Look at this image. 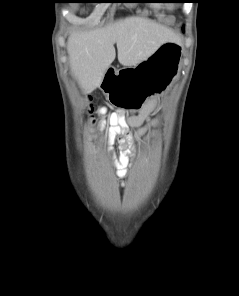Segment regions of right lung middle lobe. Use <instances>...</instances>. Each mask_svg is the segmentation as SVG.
<instances>
[{
  "label": "right lung middle lobe",
  "instance_id": "obj_1",
  "mask_svg": "<svg viewBox=\"0 0 239 296\" xmlns=\"http://www.w3.org/2000/svg\"><path fill=\"white\" fill-rule=\"evenodd\" d=\"M86 2H100V1H97V0H91V1H86Z\"/></svg>",
  "mask_w": 239,
  "mask_h": 296
}]
</instances>
